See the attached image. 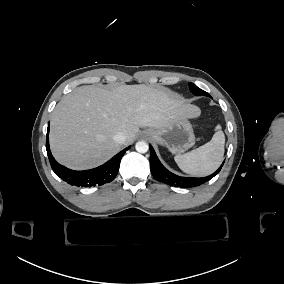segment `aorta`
Listing matches in <instances>:
<instances>
[{
	"mask_svg": "<svg viewBox=\"0 0 284 284\" xmlns=\"http://www.w3.org/2000/svg\"><path fill=\"white\" fill-rule=\"evenodd\" d=\"M135 149L139 153H146L149 149V146L145 141H139L136 143Z\"/></svg>",
	"mask_w": 284,
	"mask_h": 284,
	"instance_id": "obj_1",
	"label": "aorta"
}]
</instances>
